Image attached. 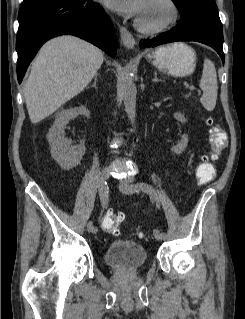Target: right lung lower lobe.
<instances>
[{
  "mask_svg": "<svg viewBox=\"0 0 245 319\" xmlns=\"http://www.w3.org/2000/svg\"><path fill=\"white\" fill-rule=\"evenodd\" d=\"M16 39L17 77L21 83L27 67L47 40L71 34L116 55L118 41L105 12L91 0H39L23 3L18 14Z\"/></svg>",
  "mask_w": 245,
  "mask_h": 319,
  "instance_id": "right-lung-lower-lobe-1",
  "label": "right lung lower lobe"
}]
</instances>
